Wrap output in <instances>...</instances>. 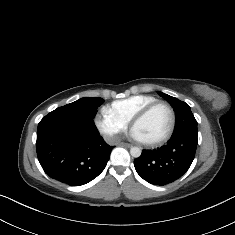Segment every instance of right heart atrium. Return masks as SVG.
<instances>
[{"label":"right heart atrium","mask_w":235,"mask_h":235,"mask_svg":"<svg viewBox=\"0 0 235 235\" xmlns=\"http://www.w3.org/2000/svg\"><path fill=\"white\" fill-rule=\"evenodd\" d=\"M97 129L112 143L127 129V123L114 115L110 106L102 105L94 116Z\"/></svg>","instance_id":"1"}]
</instances>
